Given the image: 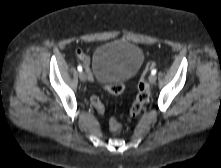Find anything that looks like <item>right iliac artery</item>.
<instances>
[{
  "label": "right iliac artery",
  "instance_id": "obj_1",
  "mask_svg": "<svg viewBox=\"0 0 221 168\" xmlns=\"http://www.w3.org/2000/svg\"><path fill=\"white\" fill-rule=\"evenodd\" d=\"M77 69L79 72H82V67L80 65L77 67Z\"/></svg>",
  "mask_w": 221,
  "mask_h": 168
}]
</instances>
